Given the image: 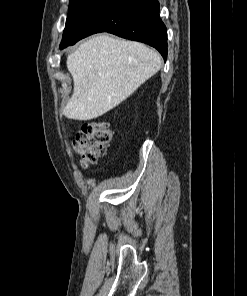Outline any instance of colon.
<instances>
[{"label": "colon", "instance_id": "colon-1", "mask_svg": "<svg viewBox=\"0 0 247 296\" xmlns=\"http://www.w3.org/2000/svg\"><path fill=\"white\" fill-rule=\"evenodd\" d=\"M111 140V132L104 122H85L74 140L75 150L81 156L82 166L95 164L107 149Z\"/></svg>", "mask_w": 247, "mask_h": 296}]
</instances>
